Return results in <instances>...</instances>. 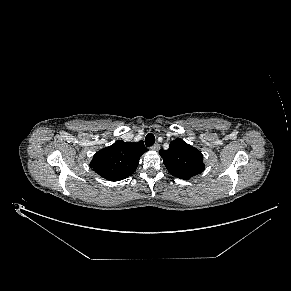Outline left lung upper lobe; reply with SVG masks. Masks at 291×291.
Returning a JSON list of instances; mask_svg holds the SVG:
<instances>
[{
    "label": "left lung upper lobe",
    "mask_w": 291,
    "mask_h": 291,
    "mask_svg": "<svg viewBox=\"0 0 291 291\" xmlns=\"http://www.w3.org/2000/svg\"><path fill=\"white\" fill-rule=\"evenodd\" d=\"M159 154L169 173L183 180H189L205 169L202 153L180 138L171 141L169 149H161Z\"/></svg>",
    "instance_id": "left-lung-upper-lobe-1"
}]
</instances>
